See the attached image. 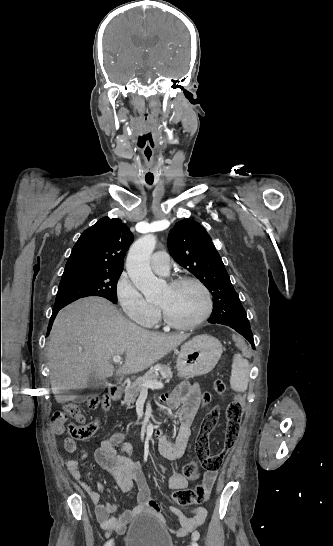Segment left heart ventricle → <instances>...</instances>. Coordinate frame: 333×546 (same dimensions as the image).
<instances>
[{
  "mask_svg": "<svg viewBox=\"0 0 333 546\" xmlns=\"http://www.w3.org/2000/svg\"><path fill=\"white\" fill-rule=\"evenodd\" d=\"M158 305L175 321L190 323L201 315L205 298L202 291L193 284H184L177 288L168 286Z\"/></svg>",
  "mask_w": 333,
  "mask_h": 546,
  "instance_id": "1",
  "label": "left heart ventricle"
}]
</instances>
